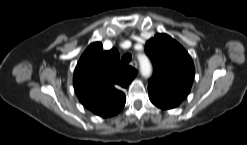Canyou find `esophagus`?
I'll return each mask as SVG.
<instances>
[{
    "instance_id": "34e87169",
    "label": "esophagus",
    "mask_w": 247,
    "mask_h": 145,
    "mask_svg": "<svg viewBox=\"0 0 247 145\" xmlns=\"http://www.w3.org/2000/svg\"><path fill=\"white\" fill-rule=\"evenodd\" d=\"M131 66H133L134 68H137L138 67V63L136 60H133L131 63H130Z\"/></svg>"
}]
</instances>
